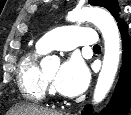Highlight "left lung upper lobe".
<instances>
[{
  "instance_id": "left-lung-upper-lobe-1",
  "label": "left lung upper lobe",
  "mask_w": 131,
  "mask_h": 115,
  "mask_svg": "<svg viewBox=\"0 0 131 115\" xmlns=\"http://www.w3.org/2000/svg\"><path fill=\"white\" fill-rule=\"evenodd\" d=\"M90 5H95V6H101L106 8L115 18L117 21L119 20V6L117 0H88Z\"/></svg>"
}]
</instances>
